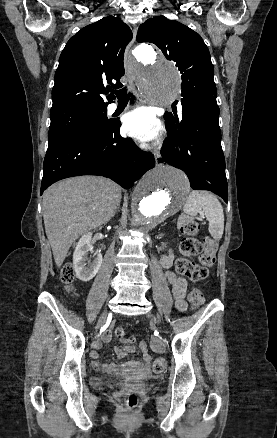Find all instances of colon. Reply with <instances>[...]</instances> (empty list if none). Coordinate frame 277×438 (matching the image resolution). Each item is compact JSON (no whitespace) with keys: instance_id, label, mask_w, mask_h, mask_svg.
<instances>
[{"instance_id":"colon-1","label":"colon","mask_w":277,"mask_h":438,"mask_svg":"<svg viewBox=\"0 0 277 438\" xmlns=\"http://www.w3.org/2000/svg\"><path fill=\"white\" fill-rule=\"evenodd\" d=\"M179 227L183 236L180 242L182 257L176 259V271L179 275L188 277L192 281H200L206 278L208 270L214 266L216 241L210 236L198 237L200 226L196 221L182 218L179 221ZM194 256H199V263L187 259ZM63 278L65 281L73 278V271L70 267H64ZM65 292L73 294V287L70 285L65 286ZM188 301L193 307L198 308L205 301L203 292L198 289L192 290L188 295ZM114 333L118 338L124 339L128 343L133 342L132 337H125L124 330L121 327L115 328ZM165 364V360L158 357L154 365L155 371L157 373L162 372ZM121 395L124 399V409H139V393L134 390L129 393L123 390Z\"/></svg>"}]
</instances>
